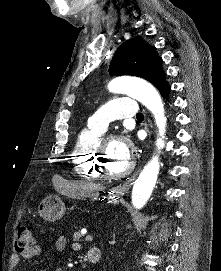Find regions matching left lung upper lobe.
Listing matches in <instances>:
<instances>
[{
	"label": "left lung upper lobe",
	"mask_w": 221,
	"mask_h": 271,
	"mask_svg": "<svg viewBox=\"0 0 221 271\" xmlns=\"http://www.w3.org/2000/svg\"><path fill=\"white\" fill-rule=\"evenodd\" d=\"M111 75H133L151 82L158 90L167 83L162 70V59L156 48L139 36L124 42L115 52L109 66Z\"/></svg>",
	"instance_id": "left-lung-upper-lobe-1"
}]
</instances>
